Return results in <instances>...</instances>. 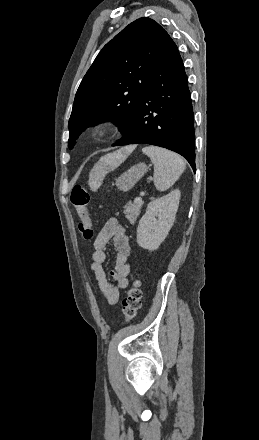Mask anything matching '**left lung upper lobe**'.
Here are the masks:
<instances>
[{
    "mask_svg": "<svg viewBox=\"0 0 259 440\" xmlns=\"http://www.w3.org/2000/svg\"><path fill=\"white\" fill-rule=\"evenodd\" d=\"M169 35L142 17L100 51L75 95L68 147L85 128L112 121L123 132L134 117Z\"/></svg>",
    "mask_w": 259,
    "mask_h": 440,
    "instance_id": "obj_1",
    "label": "left lung upper lobe"
}]
</instances>
